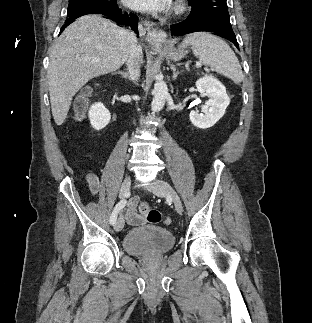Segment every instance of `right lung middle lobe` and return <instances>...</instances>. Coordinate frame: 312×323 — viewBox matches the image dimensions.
<instances>
[{
  "label": "right lung middle lobe",
  "mask_w": 312,
  "mask_h": 323,
  "mask_svg": "<svg viewBox=\"0 0 312 323\" xmlns=\"http://www.w3.org/2000/svg\"><path fill=\"white\" fill-rule=\"evenodd\" d=\"M97 7L114 8L117 7V3L116 0H69L67 16L71 13Z\"/></svg>",
  "instance_id": "obj_1"
}]
</instances>
